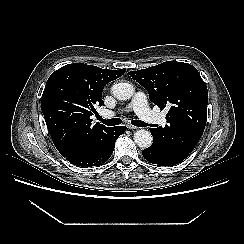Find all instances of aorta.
Here are the masks:
<instances>
[{
    "instance_id": "762f6f07",
    "label": "aorta",
    "mask_w": 244,
    "mask_h": 244,
    "mask_svg": "<svg viewBox=\"0 0 244 244\" xmlns=\"http://www.w3.org/2000/svg\"><path fill=\"white\" fill-rule=\"evenodd\" d=\"M112 94L118 100H128L134 94V87L130 83H117L112 86ZM152 141V135L148 130L139 129L134 133V142L140 148H148Z\"/></svg>"
}]
</instances>
